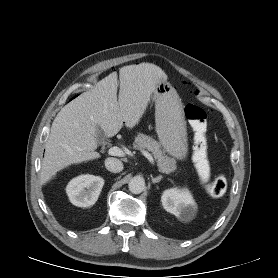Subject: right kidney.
Returning a JSON list of instances; mask_svg holds the SVG:
<instances>
[{
	"label": "right kidney",
	"mask_w": 278,
	"mask_h": 278,
	"mask_svg": "<svg viewBox=\"0 0 278 278\" xmlns=\"http://www.w3.org/2000/svg\"><path fill=\"white\" fill-rule=\"evenodd\" d=\"M104 185V179L90 174L73 178L66 187L70 202L78 207H89L96 203Z\"/></svg>",
	"instance_id": "1"
}]
</instances>
